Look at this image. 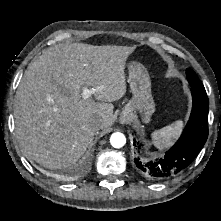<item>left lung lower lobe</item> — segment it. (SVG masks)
Returning a JSON list of instances; mask_svg holds the SVG:
<instances>
[{
	"label": "left lung lower lobe",
	"mask_w": 221,
	"mask_h": 221,
	"mask_svg": "<svg viewBox=\"0 0 221 221\" xmlns=\"http://www.w3.org/2000/svg\"><path fill=\"white\" fill-rule=\"evenodd\" d=\"M191 93L193 106L190 119L175 145L163 158L155 161L143 162L140 158L134 159L138 171L145 178L165 180L175 176L193 162L204 146L208 137L209 100L205 90L191 87Z\"/></svg>",
	"instance_id": "obj_1"
}]
</instances>
